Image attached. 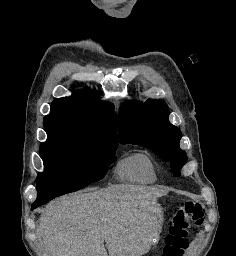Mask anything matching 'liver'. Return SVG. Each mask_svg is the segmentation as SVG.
Wrapping results in <instances>:
<instances>
[{"mask_svg": "<svg viewBox=\"0 0 236 256\" xmlns=\"http://www.w3.org/2000/svg\"><path fill=\"white\" fill-rule=\"evenodd\" d=\"M84 192L88 194L62 196L44 208L37 228L42 256H141L148 252L143 230L150 210L147 202L160 196L154 188L117 184Z\"/></svg>", "mask_w": 236, "mask_h": 256, "instance_id": "liver-1", "label": "liver"}]
</instances>
